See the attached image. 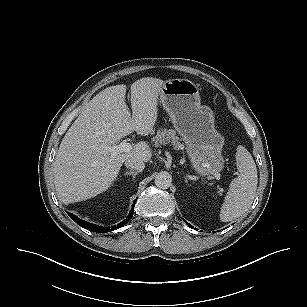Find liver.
<instances>
[{
    "instance_id": "obj_1",
    "label": "liver",
    "mask_w": 307,
    "mask_h": 307,
    "mask_svg": "<svg viewBox=\"0 0 307 307\" xmlns=\"http://www.w3.org/2000/svg\"><path fill=\"white\" fill-rule=\"evenodd\" d=\"M165 81L141 78L131 85L132 115L126 105V85L111 86L86 106L61 141L53 172L58 198L64 204L83 201L106 191L128 158L148 162V143L141 141L130 152L112 155L106 148L136 132H153L158 117V96Z\"/></svg>"
}]
</instances>
